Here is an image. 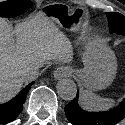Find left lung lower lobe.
<instances>
[{"label":"left lung lower lobe","mask_w":125,"mask_h":125,"mask_svg":"<svg viewBox=\"0 0 125 125\" xmlns=\"http://www.w3.org/2000/svg\"><path fill=\"white\" fill-rule=\"evenodd\" d=\"M67 119L74 125H115L125 118V99L115 108L105 112H87L78 105L76 98L65 106Z\"/></svg>","instance_id":"1"}]
</instances>
